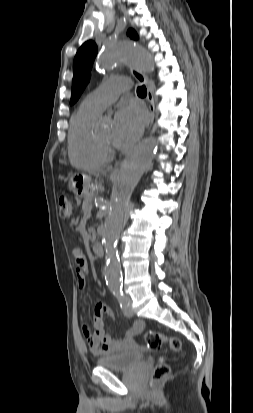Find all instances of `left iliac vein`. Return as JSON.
Segmentation results:
<instances>
[{"label":"left iliac vein","mask_w":253,"mask_h":413,"mask_svg":"<svg viewBox=\"0 0 253 413\" xmlns=\"http://www.w3.org/2000/svg\"><path fill=\"white\" fill-rule=\"evenodd\" d=\"M126 298L128 300V306L123 309V313L125 316L131 317L134 314L132 307H131V299L129 297H126Z\"/></svg>","instance_id":"4c4485c4"}]
</instances>
